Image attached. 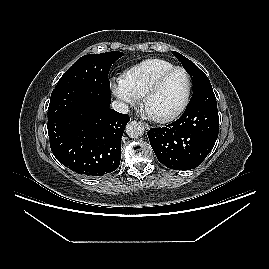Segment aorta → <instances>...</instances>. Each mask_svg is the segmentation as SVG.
Returning <instances> with one entry per match:
<instances>
[{
    "instance_id": "obj_1",
    "label": "aorta",
    "mask_w": 269,
    "mask_h": 269,
    "mask_svg": "<svg viewBox=\"0 0 269 269\" xmlns=\"http://www.w3.org/2000/svg\"><path fill=\"white\" fill-rule=\"evenodd\" d=\"M144 130L143 124L137 121H131L126 125V133L130 138L141 137Z\"/></svg>"
}]
</instances>
